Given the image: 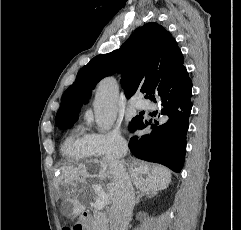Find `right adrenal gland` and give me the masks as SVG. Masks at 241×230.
Listing matches in <instances>:
<instances>
[{
  "label": "right adrenal gland",
  "instance_id": "1",
  "mask_svg": "<svg viewBox=\"0 0 241 230\" xmlns=\"http://www.w3.org/2000/svg\"><path fill=\"white\" fill-rule=\"evenodd\" d=\"M155 195L156 194H154V193H147V192H143V191H137V198L135 200V205H137L140 202V199L143 198L144 196H146V198H152Z\"/></svg>",
  "mask_w": 241,
  "mask_h": 230
}]
</instances>
